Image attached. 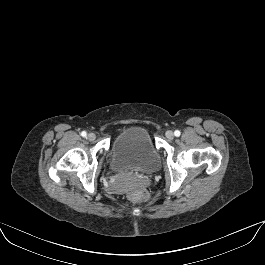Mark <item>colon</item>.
<instances>
[{"label":"colon","mask_w":265,"mask_h":265,"mask_svg":"<svg viewBox=\"0 0 265 265\" xmlns=\"http://www.w3.org/2000/svg\"><path fill=\"white\" fill-rule=\"evenodd\" d=\"M127 197L132 201H141L146 197V194L142 191H130L127 193Z\"/></svg>","instance_id":"obj_1"}]
</instances>
